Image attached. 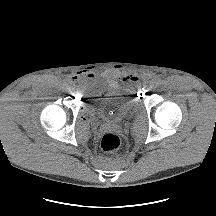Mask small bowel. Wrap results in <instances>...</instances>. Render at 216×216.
<instances>
[{"instance_id": "small-bowel-1", "label": "small bowel", "mask_w": 216, "mask_h": 216, "mask_svg": "<svg viewBox=\"0 0 216 216\" xmlns=\"http://www.w3.org/2000/svg\"><path fill=\"white\" fill-rule=\"evenodd\" d=\"M86 76L89 77V78H93V74H90V73L87 74ZM126 78L127 79H124V80H128V81L138 80V78L136 76H134V75L127 76Z\"/></svg>"}]
</instances>
